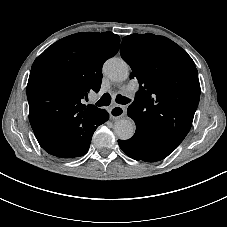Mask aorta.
<instances>
[{
	"label": "aorta",
	"instance_id": "1",
	"mask_svg": "<svg viewBox=\"0 0 227 227\" xmlns=\"http://www.w3.org/2000/svg\"><path fill=\"white\" fill-rule=\"evenodd\" d=\"M103 73L114 82H123L129 76V66L121 58L113 57L104 63ZM114 132L121 140L130 139L135 132V123L131 119H120L114 125Z\"/></svg>",
	"mask_w": 227,
	"mask_h": 227
}]
</instances>
